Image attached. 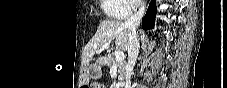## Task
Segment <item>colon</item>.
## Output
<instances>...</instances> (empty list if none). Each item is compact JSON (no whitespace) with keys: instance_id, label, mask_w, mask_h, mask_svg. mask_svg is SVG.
Here are the masks:
<instances>
[{"instance_id":"obj_1","label":"colon","mask_w":227,"mask_h":88,"mask_svg":"<svg viewBox=\"0 0 227 88\" xmlns=\"http://www.w3.org/2000/svg\"><path fill=\"white\" fill-rule=\"evenodd\" d=\"M82 87H84V88H88V86L85 84V85H83Z\"/></svg>"}]
</instances>
